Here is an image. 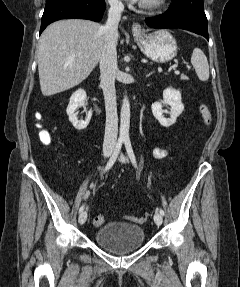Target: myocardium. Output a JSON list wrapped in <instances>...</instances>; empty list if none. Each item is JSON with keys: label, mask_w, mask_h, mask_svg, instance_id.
<instances>
[{"label": "myocardium", "mask_w": 240, "mask_h": 287, "mask_svg": "<svg viewBox=\"0 0 240 287\" xmlns=\"http://www.w3.org/2000/svg\"><path fill=\"white\" fill-rule=\"evenodd\" d=\"M165 3V0H143L140 7L146 11H156Z\"/></svg>", "instance_id": "obj_1"}]
</instances>
